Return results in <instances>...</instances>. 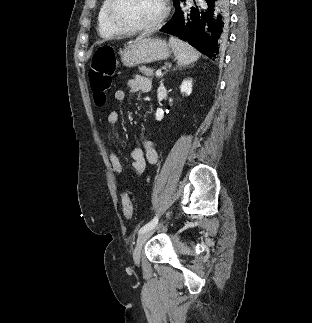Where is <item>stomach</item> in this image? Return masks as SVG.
Here are the masks:
<instances>
[{
	"label": "stomach",
	"mask_w": 312,
	"mask_h": 323,
	"mask_svg": "<svg viewBox=\"0 0 312 323\" xmlns=\"http://www.w3.org/2000/svg\"><path fill=\"white\" fill-rule=\"evenodd\" d=\"M119 54L121 62L126 68H134L138 64H150V62H158V60H167L171 50L165 40L140 36L135 42L120 50Z\"/></svg>",
	"instance_id": "1"
}]
</instances>
